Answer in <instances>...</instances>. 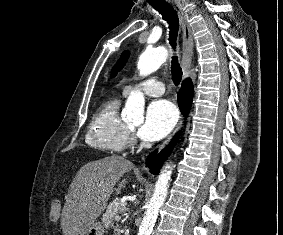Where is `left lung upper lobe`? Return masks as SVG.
Here are the masks:
<instances>
[{
    "instance_id": "obj_1",
    "label": "left lung upper lobe",
    "mask_w": 283,
    "mask_h": 235,
    "mask_svg": "<svg viewBox=\"0 0 283 235\" xmlns=\"http://www.w3.org/2000/svg\"><path fill=\"white\" fill-rule=\"evenodd\" d=\"M129 53L127 51L123 52L121 54L119 62L116 64L112 71V76H115L117 72L125 65L127 59H128Z\"/></svg>"
}]
</instances>
